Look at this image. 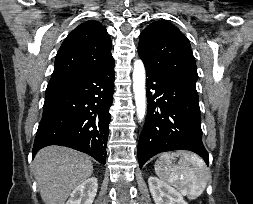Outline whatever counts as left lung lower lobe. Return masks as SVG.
I'll use <instances>...</instances> for the list:
<instances>
[{"label":"left lung lower lobe","mask_w":253,"mask_h":204,"mask_svg":"<svg viewBox=\"0 0 253 204\" xmlns=\"http://www.w3.org/2000/svg\"><path fill=\"white\" fill-rule=\"evenodd\" d=\"M146 76L148 110L138 142L139 167L159 152L173 150L193 151L208 165L196 87L148 69Z\"/></svg>","instance_id":"0a47b994"}]
</instances>
